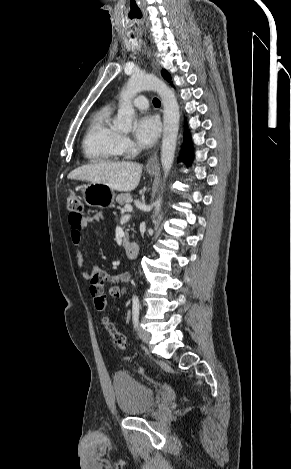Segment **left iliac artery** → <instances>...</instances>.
<instances>
[{"instance_id":"1","label":"left iliac artery","mask_w":291,"mask_h":469,"mask_svg":"<svg viewBox=\"0 0 291 469\" xmlns=\"http://www.w3.org/2000/svg\"><path fill=\"white\" fill-rule=\"evenodd\" d=\"M139 312H140V302L138 296H133L132 300V318L134 327L137 326L139 320Z\"/></svg>"}]
</instances>
